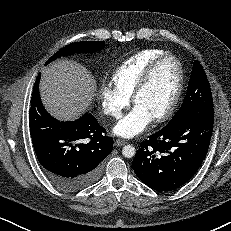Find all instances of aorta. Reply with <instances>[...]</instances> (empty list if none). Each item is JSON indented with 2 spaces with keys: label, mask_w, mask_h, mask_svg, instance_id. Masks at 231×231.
<instances>
[{
  "label": "aorta",
  "mask_w": 231,
  "mask_h": 231,
  "mask_svg": "<svg viewBox=\"0 0 231 231\" xmlns=\"http://www.w3.org/2000/svg\"><path fill=\"white\" fill-rule=\"evenodd\" d=\"M122 154L126 158H132L135 155V148L131 145H126L122 149Z\"/></svg>",
  "instance_id": "762f6f07"
}]
</instances>
